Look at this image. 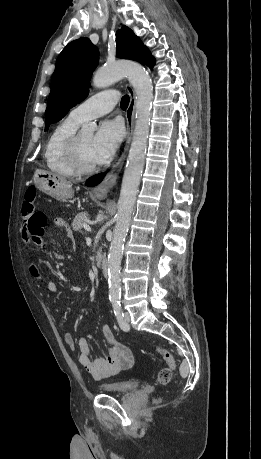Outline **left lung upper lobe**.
Instances as JSON below:
<instances>
[{
	"mask_svg": "<svg viewBox=\"0 0 261 459\" xmlns=\"http://www.w3.org/2000/svg\"><path fill=\"white\" fill-rule=\"evenodd\" d=\"M116 50L119 58L135 60L150 68L155 65L148 48L124 25L116 34ZM98 61L97 48L87 38L72 41L60 53L51 80L45 130L49 123L61 120L70 108L87 97Z\"/></svg>",
	"mask_w": 261,
	"mask_h": 459,
	"instance_id": "obj_1",
	"label": "left lung upper lobe"
}]
</instances>
